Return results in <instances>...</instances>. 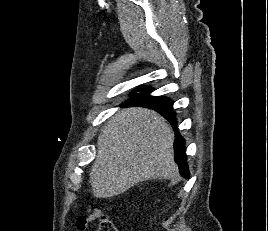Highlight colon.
<instances>
[{"mask_svg":"<svg viewBox=\"0 0 268 231\" xmlns=\"http://www.w3.org/2000/svg\"><path fill=\"white\" fill-rule=\"evenodd\" d=\"M94 219H97L96 231H118L110 216L102 212H96Z\"/></svg>","mask_w":268,"mask_h":231,"instance_id":"1","label":"colon"}]
</instances>
